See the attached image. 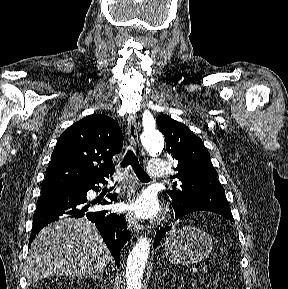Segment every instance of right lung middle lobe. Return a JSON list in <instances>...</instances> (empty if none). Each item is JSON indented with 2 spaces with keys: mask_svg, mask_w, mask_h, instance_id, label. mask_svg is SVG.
Instances as JSON below:
<instances>
[{
  "mask_svg": "<svg viewBox=\"0 0 288 289\" xmlns=\"http://www.w3.org/2000/svg\"><path fill=\"white\" fill-rule=\"evenodd\" d=\"M59 191L61 190H41V195H45V194L51 195V194L58 193Z\"/></svg>",
  "mask_w": 288,
  "mask_h": 289,
  "instance_id": "right-lung-middle-lobe-1",
  "label": "right lung middle lobe"
}]
</instances>
